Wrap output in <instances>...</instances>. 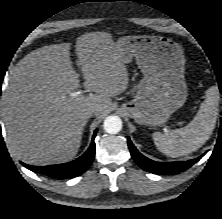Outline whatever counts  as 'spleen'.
I'll list each match as a JSON object with an SVG mask.
<instances>
[{"instance_id": "spleen-1", "label": "spleen", "mask_w": 222, "mask_h": 219, "mask_svg": "<svg viewBox=\"0 0 222 219\" xmlns=\"http://www.w3.org/2000/svg\"><path fill=\"white\" fill-rule=\"evenodd\" d=\"M219 94L215 86L206 91V99L193 120L183 128L153 133L159 151L176 158L198 150L210 138L218 116Z\"/></svg>"}]
</instances>
